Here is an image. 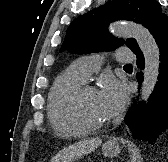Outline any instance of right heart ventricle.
Instances as JSON below:
<instances>
[{"instance_id":"1","label":"right heart ventricle","mask_w":168,"mask_h":162,"mask_svg":"<svg viewBox=\"0 0 168 162\" xmlns=\"http://www.w3.org/2000/svg\"><path fill=\"white\" fill-rule=\"evenodd\" d=\"M84 82L70 71V67L54 80L48 95L47 115L54 132L63 137H76L86 130L74 121L68 102L74 91Z\"/></svg>"}]
</instances>
